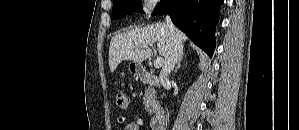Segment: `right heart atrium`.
<instances>
[{"label": "right heart atrium", "instance_id": "1", "mask_svg": "<svg viewBox=\"0 0 299 130\" xmlns=\"http://www.w3.org/2000/svg\"><path fill=\"white\" fill-rule=\"evenodd\" d=\"M156 5H157V1H155V0L146 1L145 6H144V13L147 16H150L153 13V11L155 10Z\"/></svg>", "mask_w": 299, "mask_h": 130}]
</instances>
